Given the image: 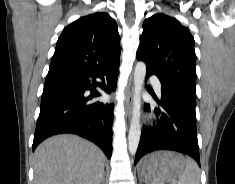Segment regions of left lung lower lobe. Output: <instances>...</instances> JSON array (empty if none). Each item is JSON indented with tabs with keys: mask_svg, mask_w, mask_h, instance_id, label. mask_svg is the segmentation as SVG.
<instances>
[{
	"mask_svg": "<svg viewBox=\"0 0 235 184\" xmlns=\"http://www.w3.org/2000/svg\"><path fill=\"white\" fill-rule=\"evenodd\" d=\"M153 74L147 70L146 80ZM160 82L161 100L157 103L161 107L154 110L160 120L155 127H143L135 164L149 152L173 150L191 156L200 166L195 101L179 90L166 86L162 80ZM145 109L150 110V105L145 104Z\"/></svg>",
	"mask_w": 235,
	"mask_h": 184,
	"instance_id": "0a47b994",
	"label": "left lung lower lobe"
}]
</instances>
